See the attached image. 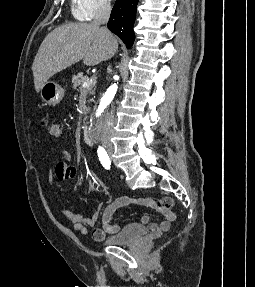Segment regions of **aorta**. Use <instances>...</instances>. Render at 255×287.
Instances as JSON below:
<instances>
[{
    "label": "aorta",
    "mask_w": 255,
    "mask_h": 287,
    "mask_svg": "<svg viewBox=\"0 0 255 287\" xmlns=\"http://www.w3.org/2000/svg\"><path fill=\"white\" fill-rule=\"evenodd\" d=\"M116 91H117V84L114 83L107 89L103 98L101 99L100 106H99L98 110L96 111V115H95V119H94L95 123H94L93 131L95 133L98 132V123L100 121L99 117H101L102 110L114 98Z\"/></svg>",
    "instance_id": "762f6f07"
}]
</instances>
